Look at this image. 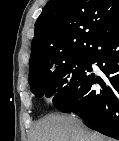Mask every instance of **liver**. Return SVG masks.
Wrapping results in <instances>:
<instances>
[{
    "label": "liver",
    "instance_id": "liver-1",
    "mask_svg": "<svg viewBox=\"0 0 119 141\" xmlns=\"http://www.w3.org/2000/svg\"><path fill=\"white\" fill-rule=\"evenodd\" d=\"M29 141H112L87 129L73 115L52 114L34 127Z\"/></svg>",
    "mask_w": 119,
    "mask_h": 141
}]
</instances>
